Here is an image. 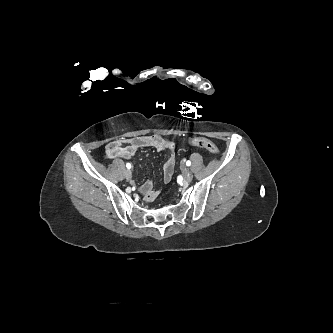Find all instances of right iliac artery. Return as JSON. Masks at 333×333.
Wrapping results in <instances>:
<instances>
[{
  "mask_svg": "<svg viewBox=\"0 0 333 333\" xmlns=\"http://www.w3.org/2000/svg\"><path fill=\"white\" fill-rule=\"evenodd\" d=\"M126 167H127L128 169H130V168H131V164H130V163H127V164H126Z\"/></svg>",
  "mask_w": 333,
  "mask_h": 333,
  "instance_id": "right-iliac-artery-1",
  "label": "right iliac artery"
}]
</instances>
